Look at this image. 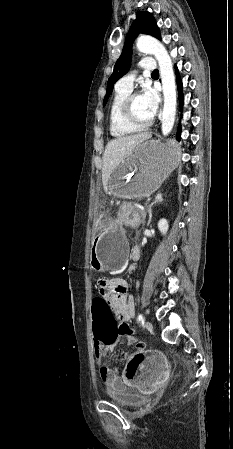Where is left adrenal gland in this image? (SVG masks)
Instances as JSON below:
<instances>
[{
  "instance_id": "a2214340",
  "label": "left adrenal gland",
  "mask_w": 233,
  "mask_h": 449,
  "mask_svg": "<svg viewBox=\"0 0 233 449\" xmlns=\"http://www.w3.org/2000/svg\"><path fill=\"white\" fill-rule=\"evenodd\" d=\"M162 202H163L162 195H161V194H157L156 197H155V199H154V201H153L150 205L146 206V207H147V208H146V212H148V214H149V220H148L147 225H149L150 222H151V220H152V207H153L155 204H160V203H162ZM146 212H145V213H146Z\"/></svg>"
}]
</instances>
